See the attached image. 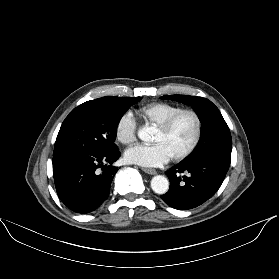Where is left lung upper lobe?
I'll return each mask as SVG.
<instances>
[{
    "label": "left lung upper lobe",
    "mask_w": 279,
    "mask_h": 279,
    "mask_svg": "<svg viewBox=\"0 0 279 279\" xmlns=\"http://www.w3.org/2000/svg\"><path fill=\"white\" fill-rule=\"evenodd\" d=\"M161 99L190 105L199 117L202 126L201 139L196 150L186 160L212 156L230 164L232 149L230 130L220 111L211 101L188 95H165Z\"/></svg>",
    "instance_id": "obj_1"
}]
</instances>
